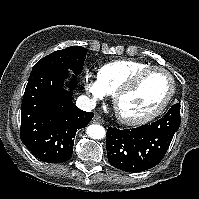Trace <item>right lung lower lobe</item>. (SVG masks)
<instances>
[{"label": "right lung lower lobe", "instance_id": "obj_1", "mask_svg": "<svg viewBox=\"0 0 199 199\" xmlns=\"http://www.w3.org/2000/svg\"><path fill=\"white\" fill-rule=\"evenodd\" d=\"M74 75L65 90V67H46L31 71L21 106L20 138L38 159L63 163L72 156L78 129L85 127L94 114L72 102L76 86Z\"/></svg>", "mask_w": 199, "mask_h": 199}]
</instances>
